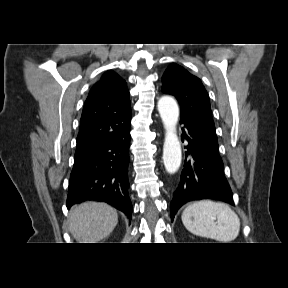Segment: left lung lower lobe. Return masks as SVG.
Returning a JSON list of instances; mask_svg holds the SVG:
<instances>
[{"mask_svg": "<svg viewBox=\"0 0 288 288\" xmlns=\"http://www.w3.org/2000/svg\"><path fill=\"white\" fill-rule=\"evenodd\" d=\"M180 123L185 126L182 137L189 143L185 156L190 155L192 160L185 161L170 204L172 221L178 209L188 201L217 199L234 205L231 188L224 176L217 137L195 121L180 118Z\"/></svg>", "mask_w": 288, "mask_h": 288, "instance_id": "0a47b994", "label": "left lung lower lobe"}]
</instances>
